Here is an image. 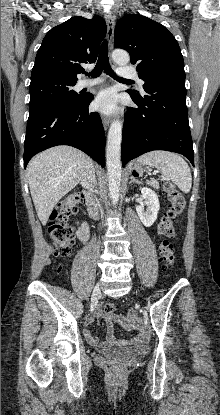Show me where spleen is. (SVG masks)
<instances>
[{
	"label": "spleen",
	"instance_id": "obj_1",
	"mask_svg": "<svg viewBox=\"0 0 220 415\" xmlns=\"http://www.w3.org/2000/svg\"><path fill=\"white\" fill-rule=\"evenodd\" d=\"M138 162L154 166L163 176L172 180L182 192H190L191 171L181 156L168 151H152L140 156Z\"/></svg>",
	"mask_w": 220,
	"mask_h": 415
}]
</instances>
